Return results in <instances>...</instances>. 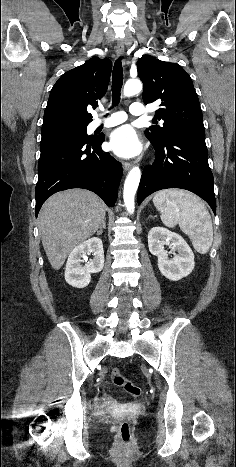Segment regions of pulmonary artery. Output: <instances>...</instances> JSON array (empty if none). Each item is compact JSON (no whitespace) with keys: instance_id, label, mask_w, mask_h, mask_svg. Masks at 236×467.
<instances>
[{"instance_id":"obj_1","label":"pulmonary artery","mask_w":236,"mask_h":467,"mask_svg":"<svg viewBox=\"0 0 236 467\" xmlns=\"http://www.w3.org/2000/svg\"><path fill=\"white\" fill-rule=\"evenodd\" d=\"M130 113L133 116H142L145 114L144 107L141 103H133L130 107ZM127 119V115L122 112L111 113L106 119H96L92 122L93 128L98 127H113L123 123Z\"/></svg>"}]
</instances>
